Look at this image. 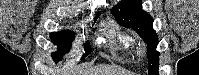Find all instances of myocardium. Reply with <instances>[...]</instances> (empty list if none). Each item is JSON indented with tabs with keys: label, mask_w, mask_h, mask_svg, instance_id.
I'll return each mask as SVG.
<instances>
[{
	"label": "myocardium",
	"mask_w": 199,
	"mask_h": 75,
	"mask_svg": "<svg viewBox=\"0 0 199 75\" xmlns=\"http://www.w3.org/2000/svg\"><path fill=\"white\" fill-rule=\"evenodd\" d=\"M138 52H139L140 56H142V57L145 56V54H146V48H145V46H143V45L139 46Z\"/></svg>",
	"instance_id": "1"
}]
</instances>
